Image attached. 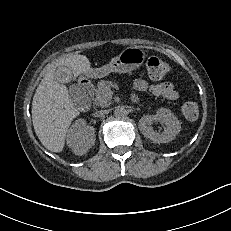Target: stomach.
Returning a JSON list of instances; mask_svg holds the SVG:
<instances>
[{
	"instance_id": "stomach-1",
	"label": "stomach",
	"mask_w": 231,
	"mask_h": 231,
	"mask_svg": "<svg viewBox=\"0 0 231 231\" xmlns=\"http://www.w3.org/2000/svg\"><path fill=\"white\" fill-rule=\"evenodd\" d=\"M146 54L140 47H127L114 60L100 68L90 69L88 76L92 78H101L109 75L111 72L127 73L139 68Z\"/></svg>"
}]
</instances>
